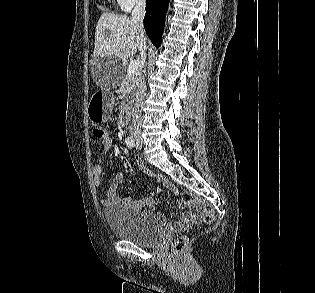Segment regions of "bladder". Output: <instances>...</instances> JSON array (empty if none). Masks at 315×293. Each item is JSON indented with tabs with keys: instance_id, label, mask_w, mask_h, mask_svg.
<instances>
[{
	"instance_id": "31cf9c89",
	"label": "bladder",
	"mask_w": 315,
	"mask_h": 293,
	"mask_svg": "<svg viewBox=\"0 0 315 293\" xmlns=\"http://www.w3.org/2000/svg\"><path fill=\"white\" fill-rule=\"evenodd\" d=\"M112 233L139 246H151L162 236L163 230L150 215L127 203H115L104 211Z\"/></svg>"
}]
</instances>
